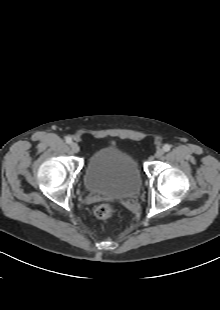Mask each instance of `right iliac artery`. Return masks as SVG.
<instances>
[{
	"label": "right iliac artery",
	"instance_id": "82829eb1",
	"mask_svg": "<svg viewBox=\"0 0 220 310\" xmlns=\"http://www.w3.org/2000/svg\"><path fill=\"white\" fill-rule=\"evenodd\" d=\"M65 141H66V143L71 144L72 143V138L67 136V137H65Z\"/></svg>",
	"mask_w": 220,
	"mask_h": 310
}]
</instances>
